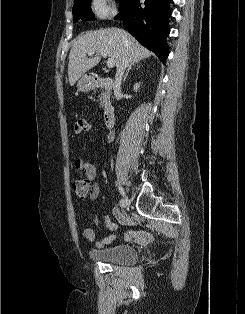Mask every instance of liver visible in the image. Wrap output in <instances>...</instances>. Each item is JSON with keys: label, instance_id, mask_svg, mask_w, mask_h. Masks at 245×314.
I'll return each mask as SVG.
<instances>
[{"label": "liver", "instance_id": "obj_1", "mask_svg": "<svg viewBox=\"0 0 245 314\" xmlns=\"http://www.w3.org/2000/svg\"><path fill=\"white\" fill-rule=\"evenodd\" d=\"M105 52L115 60L116 66L125 58L128 64H135L152 55L145 47L123 29L105 28L97 31L87 32L81 35L74 43L68 63V79L73 86L81 76L96 66L100 57L88 59V52Z\"/></svg>", "mask_w": 245, "mask_h": 314}]
</instances>
